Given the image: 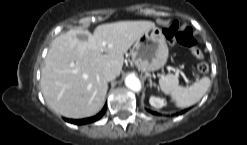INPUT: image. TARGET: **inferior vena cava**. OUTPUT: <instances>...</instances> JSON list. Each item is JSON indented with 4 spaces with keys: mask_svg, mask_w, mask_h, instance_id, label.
<instances>
[{
    "mask_svg": "<svg viewBox=\"0 0 247 145\" xmlns=\"http://www.w3.org/2000/svg\"><path fill=\"white\" fill-rule=\"evenodd\" d=\"M102 75L106 81H111L116 78L114 71L109 68L104 69Z\"/></svg>",
    "mask_w": 247,
    "mask_h": 145,
    "instance_id": "1",
    "label": "inferior vena cava"
}]
</instances>
